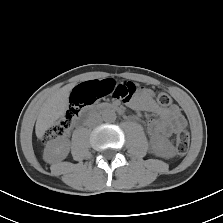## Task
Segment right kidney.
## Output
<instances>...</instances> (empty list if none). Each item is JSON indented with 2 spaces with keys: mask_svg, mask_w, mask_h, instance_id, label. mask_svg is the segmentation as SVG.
I'll list each match as a JSON object with an SVG mask.
<instances>
[{
  "mask_svg": "<svg viewBox=\"0 0 223 223\" xmlns=\"http://www.w3.org/2000/svg\"><path fill=\"white\" fill-rule=\"evenodd\" d=\"M70 151V142L65 138H56L52 140L45 148L43 157L47 162L63 160Z\"/></svg>",
  "mask_w": 223,
  "mask_h": 223,
  "instance_id": "obj_1",
  "label": "right kidney"
}]
</instances>
